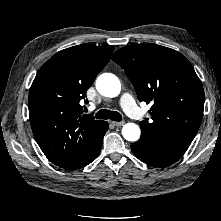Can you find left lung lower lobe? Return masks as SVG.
<instances>
[{"label": "left lung lower lobe", "instance_id": "1", "mask_svg": "<svg viewBox=\"0 0 221 221\" xmlns=\"http://www.w3.org/2000/svg\"><path fill=\"white\" fill-rule=\"evenodd\" d=\"M189 145L165 135L141 130V138L131 145V150L148 165L166 167L181 158Z\"/></svg>", "mask_w": 221, "mask_h": 221}]
</instances>
